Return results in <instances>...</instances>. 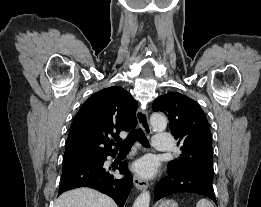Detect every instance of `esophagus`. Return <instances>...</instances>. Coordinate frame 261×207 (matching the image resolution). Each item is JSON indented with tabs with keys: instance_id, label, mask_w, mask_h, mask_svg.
Segmentation results:
<instances>
[{
	"instance_id": "esophagus-1",
	"label": "esophagus",
	"mask_w": 261,
	"mask_h": 207,
	"mask_svg": "<svg viewBox=\"0 0 261 207\" xmlns=\"http://www.w3.org/2000/svg\"><path fill=\"white\" fill-rule=\"evenodd\" d=\"M137 120L139 127L148 135L151 134V127L148 120V112L143 108L137 110ZM134 185L137 189L142 190L148 187V182L135 175L133 177Z\"/></svg>"
}]
</instances>
